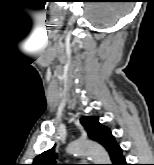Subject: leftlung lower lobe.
Here are the masks:
<instances>
[{
    "label": "left lung lower lobe",
    "instance_id": "0a47b994",
    "mask_svg": "<svg viewBox=\"0 0 154 165\" xmlns=\"http://www.w3.org/2000/svg\"><path fill=\"white\" fill-rule=\"evenodd\" d=\"M112 165H127L125 158L122 155V150L119 148L112 158Z\"/></svg>",
    "mask_w": 154,
    "mask_h": 165
}]
</instances>
